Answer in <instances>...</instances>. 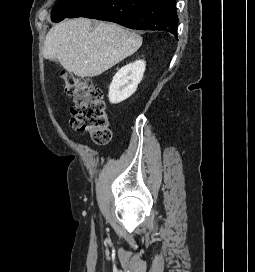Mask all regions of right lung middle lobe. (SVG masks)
Listing matches in <instances>:
<instances>
[{"label":"right lung middle lobe","instance_id":"right-lung-middle-lobe-1","mask_svg":"<svg viewBox=\"0 0 255 272\" xmlns=\"http://www.w3.org/2000/svg\"><path fill=\"white\" fill-rule=\"evenodd\" d=\"M90 0H58L52 10V21L59 22L70 16Z\"/></svg>","mask_w":255,"mask_h":272}]
</instances>
